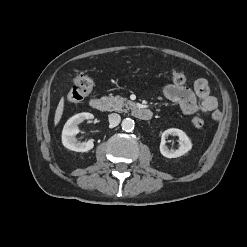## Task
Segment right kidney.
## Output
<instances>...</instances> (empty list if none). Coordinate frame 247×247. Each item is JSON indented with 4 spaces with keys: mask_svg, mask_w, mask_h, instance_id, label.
<instances>
[{
    "mask_svg": "<svg viewBox=\"0 0 247 247\" xmlns=\"http://www.w3.org/2000/svg\"><path fill=\"white\" fill-rule=\"evenodd\" d=\"M94 116L91 113H79L71 117L64 125L62 131V143L63 145L72 151L87 152L94 147L92 140L77 141L75 136L80 132L78 125L84 120L93 119Z\"/></svg>",
    "mask_w": 247,
    "mask_h": 247,
    "instance_id": "1",
    "label": "right kidney"
}]
</instances>
